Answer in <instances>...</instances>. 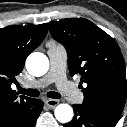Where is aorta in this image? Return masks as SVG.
I'll return each instance as SVG.
<instances>
[{"label":"aorta","mask_w":127,"mask_h":127,"mask_svg":"<svg viewBox=\"0 0 127 127\" xmlns=\"http://www.w3.org/2000/svg\"><path fill=\"white\" fill-rule=\"evenodd\" d=\"M27 71L36 77L43 76L49 69V60L40 52L31 53L26 59ZM55 118L61 123H67L73 118V109L68 104H59L55 108Z\"/></svg>","instance_id":"1"}]
</instances>
